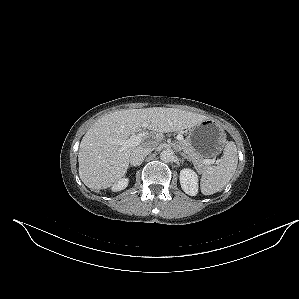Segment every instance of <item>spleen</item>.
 I'll list each match as a JSON object with an SVG mask.
<instances>
[{
  "mask_svg": "<svg viewBox=\"0 0 299 299\" xmlns=\"http://www.w3.org/2000/svg\"><path fill=\"white\" fill-rule=\"evenodd\" d=\"M237 164V148L235 143L230 141L224 148L221 162L203 170L200 182L202 194L211 195L222 191L235 173Z\"/></svg>",
  "mask_w": 299,
  "mask_h": 299,
  "instance_id": "obj_1",
  "label": "spleen"
}]
</instances>
